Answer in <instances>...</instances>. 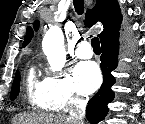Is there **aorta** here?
<instances>
[{
	"instance_id": "1",
	"label": "aorta",
	"mask_w": 145,
	"mask_h": 124,
	"mask_svg": "<svg viewBox=\"0 0 145 124\" xmlns=\"http://www.w3.org/2000/svg\"><path fill=\"white\" fill-rule=\"evenodd\" d=\"M42 49L52 72L62 71L66 62L64 35L58 26L51 27L44 35Z\"/></svg>"
}]
</instances>
